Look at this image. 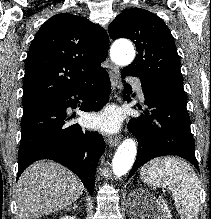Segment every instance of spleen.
<instances>
[{"label":"spleen","mask_w":211,"mask_h":219,"mask_svg":"<svg viewBox=\"0 0 211 219\" xmlns=\"http://www.w3.org/2000/svg\"><path fill=\"white\" fill-rule=\"evenodd\" d=\"M141 179L149 186H168L181 219H198L200 185L193 168L176 157L151 160L140 170Z\"/></svg>","instance_id":"3e777b00"}]
</instances>
